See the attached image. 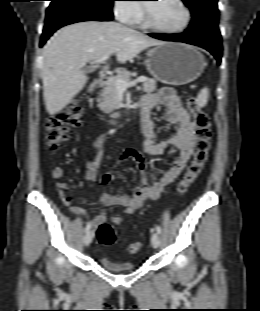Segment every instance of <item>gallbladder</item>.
<instances>
[{
  "mask_svg": "<svg viewBox=\"0 0 260 311\" xmlns=\"http://www.w3.org/2000/svg\"><path fill=\"white\" fill-rule=\"evenodd\" d=\"M84 71H85L86 73H89V72H92V71H93V68H92V67H85V68H84Z\"/></svg>",
  "mask_w": 260,
  "mask_h": 311,
  "instance_id": "gallbladder-1",
  "label": "gallbladder"
}]
</instances>
